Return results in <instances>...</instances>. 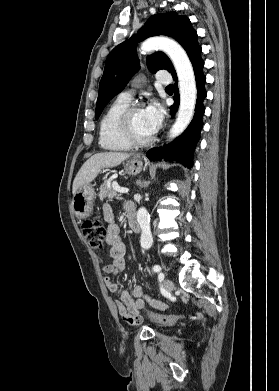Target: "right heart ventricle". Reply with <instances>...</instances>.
Here are the masks:
<instances>
[{"mask_svg": "<svg viewBox=\"0 0 279 391\" xmlns=\"http://www.w3.org/2000/svg\"><path fill=\"white\" fill-rule=\"evenodd\" d=\"M129 104L130 100L119 96L108 106L99 125L101 148L109 151H124L131 148L122 137L119 128V118Z\"/></svg>", "mask_w": 279, "mask_h": 391, "instance_id": "obj_1", "label": "right heart ventricle"}]
</instances>
